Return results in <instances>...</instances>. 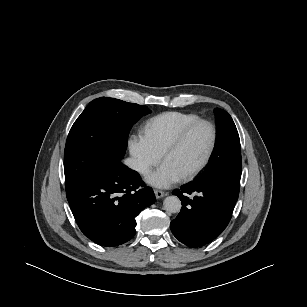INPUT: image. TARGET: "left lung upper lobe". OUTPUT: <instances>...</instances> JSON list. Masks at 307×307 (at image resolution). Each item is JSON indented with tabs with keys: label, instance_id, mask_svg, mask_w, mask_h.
<instances>
[{
	"label": "left lung upper lobe",
	"instance_id": "5c2ea615",
	"mask_svg": "<svg viewBox=\"0 0 307 307\" xmlns=\"http://www.w3.org/2000/svg\"><path fill=\"white\" fill-rule=\"evenodd\" d=\"M217 141L213 157L197 181L217 179L239 192L242 172L240 139L231 116L224 110H215Z\"/></svg>",
	"mask_w": 307,
	"mask_h": 307
}]
</instances>
